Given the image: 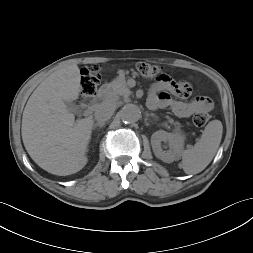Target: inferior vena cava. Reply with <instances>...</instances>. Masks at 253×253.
Returning <instances> with one entry per match:
<instances>
[{"label": "inferior vena cava", "instance_id": "inferior-vena-cava-1", "mask_svg": "<svg viewBox=\"0 0 253 253\" xmlns=\"http://www.w3.org/2000/svg\"><path fill=\"white\" fill-rule=\"evenodd\" d=\"M115 105L112 102L104 101L95 110V119L98 123H105L114 114Z\"/></svg>", "mask_w": 253, "mask_h": 253}]
</instances>
